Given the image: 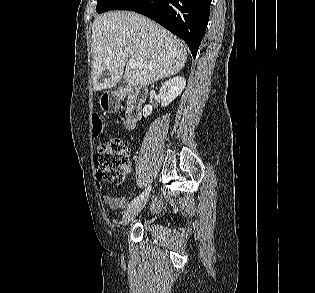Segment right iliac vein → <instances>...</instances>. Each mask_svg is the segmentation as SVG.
I'll return each instance as SVG.
<instances>
[{"instance_id":"63e3f726","label":"right iliac vein","mask_w":315,"mask_h":293,"mask_svg":"<svg viewBox=\"0 0 315 293\" xmlns=\"http://www.w3.org/2000/svg\"><path fill=\"white\" fill-rule=\"evenodd\" d=\"M146 203L147 199H144L136 204L129 206L123 215L122 224L124 226L127 225L144 208Z\"/></svg>"}]
</instances>
